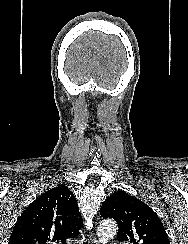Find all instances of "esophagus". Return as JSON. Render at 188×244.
Segmentation results:
<instances>
[{
  "label": "esophagus",
  "mask_w": 188,
  "mask_h": 244,
  "mask_svg": "<svg viewBox=\"0 0 188 244\" xmlns=\"http://www.w3.org/2000/svg\"><path fill=\"white\" fill-rule=\"evenodd\" d=\"M88 236H89L90 241H91L92 243H94V244H98V241H97L96 237L94 236V234L89 233Z\"/></svg>",
  "instance_id": "1"
}]
</instances>
